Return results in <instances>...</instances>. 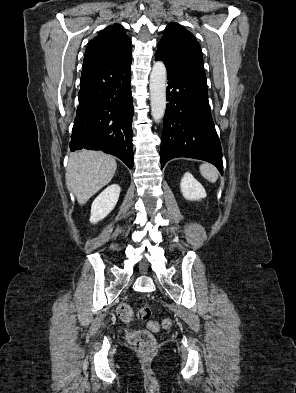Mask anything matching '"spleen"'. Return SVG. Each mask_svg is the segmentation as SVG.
Listing matches in <instances>:
<instances>
[{"mask_svg": "<svg viewBox=\"0 0 296 393\" xmlns=\"http://www.w3.org/2000/svg\"><path fill=\"white\" fill-rule=\"evenodd\" d=\"M200 173L205 179H207L212 183L216 182L218 179L217 169L211 164L208 163L201 164Z\"/></svg>", "mask_w": 296, "mask_h": 393, "instance_id": "1", "label": "spleen"}]
</instances>
